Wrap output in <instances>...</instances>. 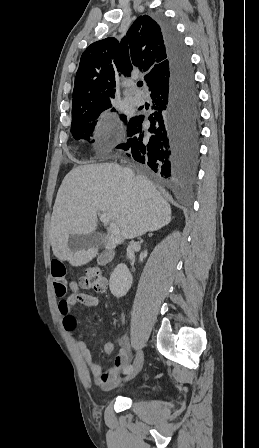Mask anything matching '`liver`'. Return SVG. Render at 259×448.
Masks as SVG:
<instances>
[{
  "label": "liver",
  "instance_id": "1",
  "mask_svg": "<svg viewBox=\"0 0 259 448\" xmlns=\"http://www.w3.org/2000/svg\"><path fill=\"white\" fill-rule=\"evenodd\" d=\"M119 164H89L65 176L51 216L49 242L55 258L71 266H84L96 258L98 248L71 252L69 236H87L97 230V214H109L120 236L107 238V250L124 240L155 232L171 222V208L146 176H135L127 190ZM106 236V234H104Z\"/></svg>",
  "mask_w": 259,
  "mask_h": 448
}]
</instances>
